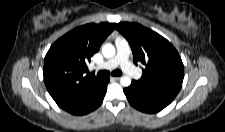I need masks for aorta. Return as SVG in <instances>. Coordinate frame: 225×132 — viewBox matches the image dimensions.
<instances>
[{
    "mask_svg": "<svg viewBox=\"0 0 225 132\" xmlns=\"http://www.w3.org/2000/svg\"><path fill=\"white\" fill-rule=\"evenodd\" d=\"M116 53V50H115V47L110 44V43H107L105 45H103L102 47V55L105 57V58H112ZM120 84L123 86V87H128L131 85V78L128 77V76H122L121 79H120Z\"/></svg>",
    "mask_w": 225,
    "mask_h": 132,
    "instance_id": "762f6f07",
    "label": "aorta"
}]
</instances>
